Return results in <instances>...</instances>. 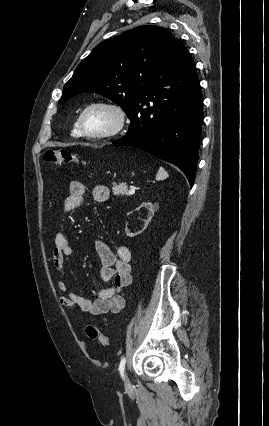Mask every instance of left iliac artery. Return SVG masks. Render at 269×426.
Returning <instances> with one entry per match:
<instances>
[{"instance_id":"44dca946","label":"left iliac artery","mask_w":269,"mask_h":426,"mask_svg":"<svg viewBox=\"0 0 269 426\" xmlns=\"http://www.w3.org/2000/svg\"><path fill=\"white\" fill-rule=\"evenodd\" d=\"M125 364H126V358L123 357L120 361V364H119V372H120L122 378H124Z\"/></svg>"}]
</instances>
